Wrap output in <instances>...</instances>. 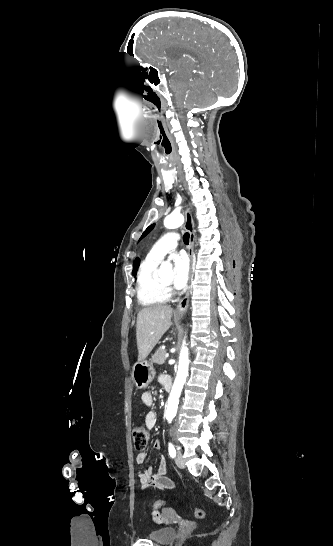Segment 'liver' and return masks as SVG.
Returning a JSON list of instances; mask_svg holds the SVG:
<instances>
[{
    "label": "liver",
    "mask_w": 333,
    "mask_h": 546,
    "mask_svg": "<svg viewBox=\"0 0 333 546\" xmlns=\"http://www.w3.org/2000/svg\"><path fill=\"white\" fill-rule=\"evenodd\" d=\"M172 308L156 305L143 308L137 315L136 339L138 360H145L171 327Z\"/></svg>",
    "instance_id": "liver-1"
}]
</instances>
